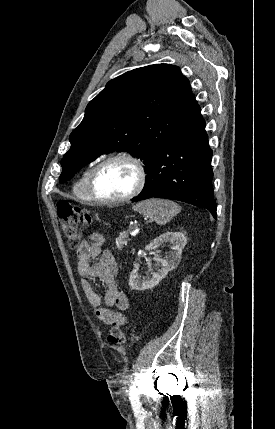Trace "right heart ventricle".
Listing matches in <instances>:
<instances>
[{"mask_svg": "<svg viewBox=\"0 0 275 429\" xmlns=\"http://www.w3.org/2000/svg\"><path fill=\"white\" fill-rule=\"evenodd\" d=\"M95 165L96 163H92L88 165L82 171V173L80 174V176L78 177V179L75 181L73 185V193L81 201H84V202L91 201L87 192V181H88L89 174Z\"/></svg>", "mask_w": 275, "mask_h": 429, "instance_id": "1", "label": "right heart ventricle"}]
</instances>
